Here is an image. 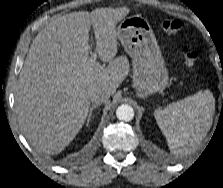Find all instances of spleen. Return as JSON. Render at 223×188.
Here are the masks:
<instances>
[{
	"label": "spleen",
	"instance_id": "1",
	"mask_svg": "<svg viewBox=\"0 0 223 188\" xmlns=\"http://www.w3.org/2000/svg\"><path fill=\"white\" fill-rule=\"evenodd\" d=\"M215 99L209 90L154 111L156 122L174 154H188L206 136L212 124Z\"/></svg>",
	"mask_w": 223,
	"mask_h": 188
}]
</instances>
